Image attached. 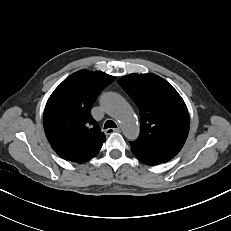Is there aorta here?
<instances>
[{"instance_id":"762f6f07","label":"aorta","mask_w":231,"mask_h":231,"mask_svg":"<svg viewBox=\"0 0 231 231\" xmlns=\"http://www.w3.org/2000/svg\"><path fill=\"white\" fill-rule=\"evenodd\" d=\"M101 105L109 115L120 123L127 139L135 140L139 136V127L133 111L122 96L117 93H106L101 98Z\"/></svg>"}]
</instances>
